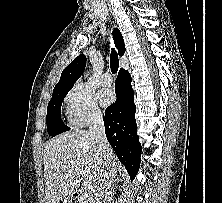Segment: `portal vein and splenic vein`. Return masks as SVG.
Wrapping results in <instances>:
<instances>
[{"mask_svg":"<svg viewBox=\"0 0 222 203\" xmlns=\"http://www.w3.org/2000/svg\"><path fill=\"white\" fill-rule=\"evenodd\" d=\"M79 172H80L81 175L84 174L83 170H81V169L79 170ZM82 186H83V188L86 189V190L91 189V184H90V182H88V181H83Z\"/></svg>","mask_w":222,"mask_h":203,"instance_id":"18ae733b","label":"portal vein and splenic vein"}]
</instances>
